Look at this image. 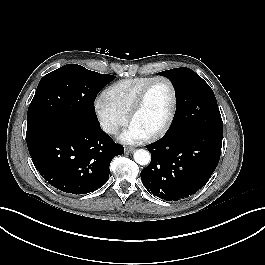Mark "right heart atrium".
<instances>
[{
  "mask_svg": "<svg viewBox=\"0 0 265 265\" xmlns=\"http://www.w3.org/2000/svg\"><path fill=\"white\" fill-rule=\"evenodd\" d=\"M94 113L102 130L108 135H116L127 123V116L112 107L103 97L94 102Z\"/></svg>",
  "mask_w": 265,
  "mask_h": 265,
  "instance_id": "1",
  "label": "right heart atrium"
}]
</instances>
